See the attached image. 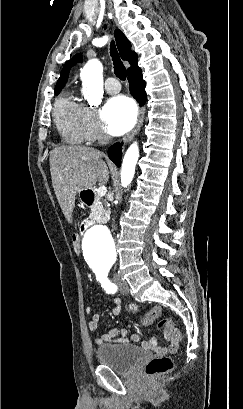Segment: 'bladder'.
I'll return each instance as SVG.
<instances>
[{"mask_svg": "<svg viewBox=\"0 0 243 409\" xmlns=\"http://www.w3.org/2000/svg\"><path fill=\"white\" fill-rule=\"evenodd\" d=\"M147 355L145 349L128 343L105 344L96 350L98 362L117 373L130 372Z\"/></svg>", "mask_w": 243, "mask_h": 409, "instance_id": "31cf9c89", "label": "bladder"}]
</instances>
